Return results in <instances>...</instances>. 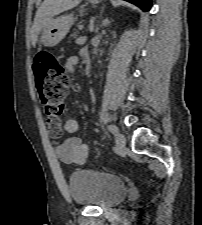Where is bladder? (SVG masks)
<instances>
[{
	"label": "bladder",
	"mask_w": 202,
	"mask_h": 225,
	"mask_svg": "<svg viewBox=\"0 0 202 225\" xmlns=\"http://www.w3.org/2000/svg\"><path fill=\"white\" fill-rule=\"evenodd\" d=\"M126 189L120 177L96 169L76 171L68 181V191L75 204L101 209L121 203Z\"/></svg>",
	"instance_id": "1"
}]
</instances>
